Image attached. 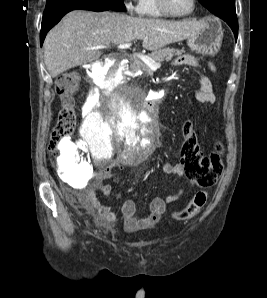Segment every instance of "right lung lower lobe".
Segmentation results:
<instances>
[{"mask_svg":"<svg viewBox=\"0 0 267 298\" xmlns=\"http://www.w3.org/2000/svg\"><path fill=\"white\" fill-rule=\"evenodd\" d=\"M76 9H82V10H91L96 12L111 10L108 7L100 6L97 3L94 2H88V1H71L66 4H63L62 6L58 7L57 9L53 10L49 15L43 16L42 19V25H41V32H40V43L41 46L43 44L44 38L47 34V32L55 25L57 24L60 19L68 12Z\"/></svg>","mask_w":267,"mask_h":298,"instance_id":"obj_1","label":"right lung lower lobe"}]
</instances>
